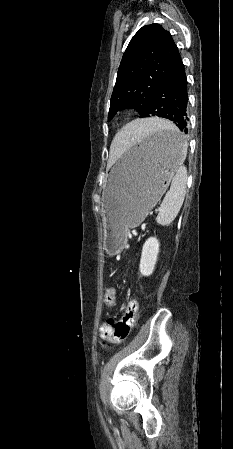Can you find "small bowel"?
<instances>
[{"label": "small bowel", "mask_w": 233, "mask_h": 449, "mask_svg": "<svg viewBox=\"0 0 233 449\" xmlns=\"http://www.w3.org/2000/svg\"><path fill=\"white\" fill-rule=\"evenodd\" d=\"M105 325H106V324H102V325H101L100 331L102 330V328H104Z\"/></svg>", "instance_id": "1"}]
</instances>
